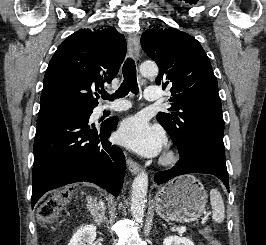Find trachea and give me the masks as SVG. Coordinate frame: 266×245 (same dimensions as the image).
<instances>
[{
  "label": "trachea",
  "instance_id": "1",
  "mask_svg": "<svg viewBox=\"0 0 266 245\" xmlns=\"http://www.w3.org/2000/svg\"><path fill=\"white\" fill-rule=\"evenodd\" d=\"M123 77L124 80L119 89L113 95L102 93L101 96L105 100L113 101L115 98L125 97L129 92L138 94V85L136 77V66L131 58H128L123 66Z\"/></svg>",
  "mask_w": 266,
  "mask_h": 245
}]
</instances>
